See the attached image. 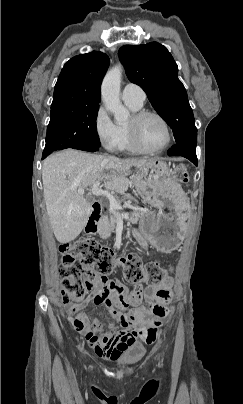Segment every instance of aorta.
<instances>
[{
	"mask_svg": "<svg viewBox=\"0 0 243 404\" xmlns=\"http://www.w3.org/2000/svg\"><path fill=\"white\" fill-rule=\"evenodd\" d=\"M122 76V66H114L107 72L101 86L102 102L116 122H126L129 112L125 106H122L120 100V82Z\"/></svg>",
	"mask_w": 243,
	"mask_h": 404,
	"instance_id": "1",
	"label": "aorta"
}]
</instances>
